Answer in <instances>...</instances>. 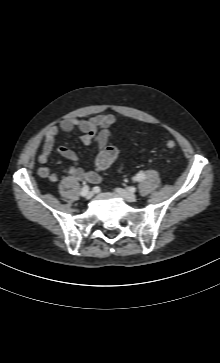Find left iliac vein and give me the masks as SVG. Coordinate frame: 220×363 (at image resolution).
<instances>
[{"mask_svg": "<svg viewBox=\"0 0 220 363\" xmlns=\"http://www.w3.org/2000/svg\"><path fill=\"white\" fill-rule=\"evenodd\" d=\"M116 192L128 202L136 201V194L132 190L116 189Z\"/></svg>", "mask_w": 220, "mask_h": 363, "instance_id": "4c4485c4", "label": "left iliac vein"}]
</instances>
